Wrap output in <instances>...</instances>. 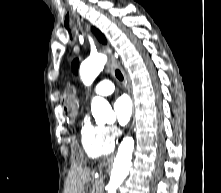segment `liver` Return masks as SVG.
Here are the masks:
<instances>
[{
    "mask_svg": "<svg viewBox=\"0 0 221 193\" xmlns=\"http://www.w3.org/2000/svg\"><path fill=\"white\" fill-rule=\"evenodd\" d=\"M89 170L81 166H74L69 172L68 193H82L85 183L88 182Z\"/></svg>",
    "mask_w": 221,
    "mask_h": 193,
    "instance_id": "1",
    "label": "liver"
}]
</instances>
